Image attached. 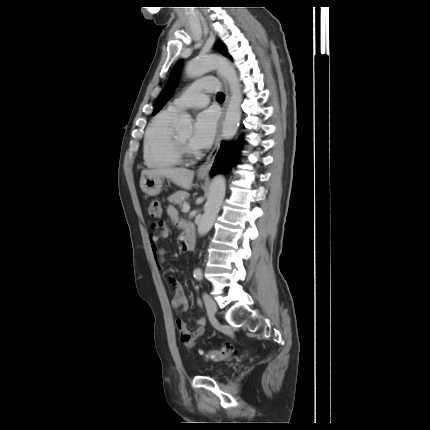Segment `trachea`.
Here are the masks:
<instances>
[{
  "label": "trachea",
  "instance_id": "obj_1",
  "mask_svg": "<svg viewBox=\"0 0 430 430\" xmlns=\"http://www.w3.org/2000/svg\"><path fill=\"white\" fill-rule=\"evenodd\" d=\"M216 98H217V100H224L225 99V96H224V94L223 93H218L217 95H216Z\"/></svg>",
  "mask_w": 430,
  "mask_h": 430
}]
</instances>
